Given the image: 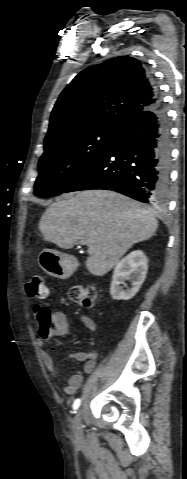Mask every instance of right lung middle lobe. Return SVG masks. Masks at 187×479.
<instances>
[{
  "label": "right lung middle lobe",
  "instance_id": "right-lung-middle-lobe-1",
  "mask_svg": "<svg viewBox=\"0 0 187 479\" xmlns=\"http://www.w3.org/2000/svg\"><path fill=\"white\" fill-rule=\"evenodd\" d=\"M119 131L112 127H91L45 144L34 194L51 197L64 193L107 150Z\"/></svg>",
  "mask_w": 187,
  "mask_h": 479
}]
</instances>
